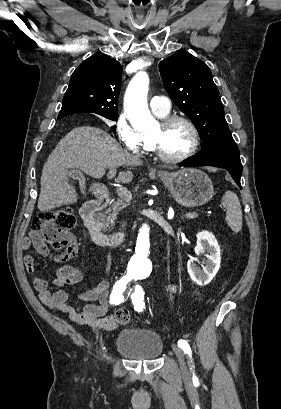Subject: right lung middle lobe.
I'll return each instance as SVG.
<instances>
[{
  "label": "right lung middle lobe",
  "instance_id": "1",
  "mask_svg": "<svg viewBox=\"0 0 281 409\" xmlns=\"http://www.w3.org/2000/svg\"><path fill=\"white\" fill-rule=\"evenodd\" d=\"M101 116H104L107 119L116 121L118 119V114H100Z\"/></svg>",
  "mask_w": 281,
  "mask_h": 409
}]
</instances>
